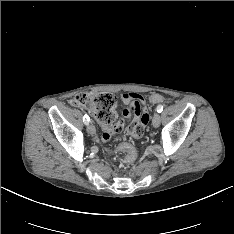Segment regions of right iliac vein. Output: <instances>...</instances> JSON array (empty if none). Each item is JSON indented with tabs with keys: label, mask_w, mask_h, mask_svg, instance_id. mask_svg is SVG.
Instances as JSON below:
<instances>
[{
	"label": "right iliac vein",
	"mask_w": 234,
	"mask_h": 234,
	"mask_svg": "<svg viewBox=\"0 0 234 234\" xmlns=\"http://www.w3.org/2000/svg\"><path fill=\"white\" fill-rule=\"evenodd\" d=\"M87 131L89 134L94 135L96 133L95 126L93 124H88L87 125Z\"/></svg>",
	"instance_id": "obj_1"
}]
</instances>
